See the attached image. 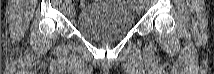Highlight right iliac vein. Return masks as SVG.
<instances>
[{
  "instance_id": "1",
  "label": "right iliac vein",
  "mask_w": 214,
  "mask_h": 74,
  "mask_svg": "<svg viewBox=\"0 0 214 74\" xmlns=\"http://www.w3.org/2000/svg\"><path fill=\"white\" fill-rule=\"evenodd\" d=\"M68 15L72 18L75 15V8L73 6H69Z\"/></svg>"
}]
</instances>
